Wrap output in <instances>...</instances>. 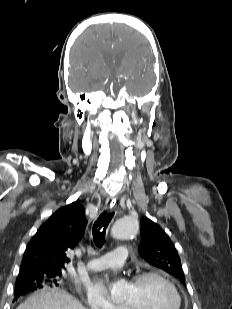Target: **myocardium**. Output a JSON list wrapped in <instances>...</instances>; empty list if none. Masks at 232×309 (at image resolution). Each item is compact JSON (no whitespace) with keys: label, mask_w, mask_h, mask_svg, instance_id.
<instances>
[{"label":"myocardium","mask_w":232,"mask_h":309,"mask_svg":"<svg viewBox=\"0 0 232 309\" xmlns=\"http://www.w3.org/2000/svg\"><path fill=\"white\" fill-rule=\"evenodd\" d=\"M151 278H155V279H159L162 282H164L171 290L172 294L175 297L176 303L175 306L173 307V309H181L182 307V296L181 293L179 292L177 286L175 285V283L164 273L160 272V271H156V270H147V271H142L136 275H134L131 279V283L132 284H139L145 280L151 279ZM122 309H132L131 307H129L128 305H124L122 306Z\"/></svg>","instance_id":"myocardium-1"}]
</instances>
